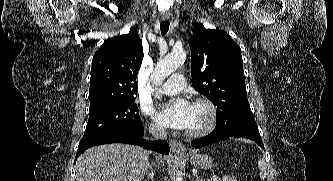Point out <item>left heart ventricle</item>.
Instances as JSON below:
<instances>
[{"mask_svg": "<svg viewBox=\"0 0 333 181\" xmlns=\"http://www.w3.org/2000/svg\"><path fill=\"white\" fill-rule=\"evenodd\" d=\"M206 120V113L203 107L192 105V119L188 130H194L201 127Z\"/></svg>", "mask_w": 333, "mask_h": 181, "instance_id": "b2bd125f", "label": "left heart ventricle"}]
</instances>
